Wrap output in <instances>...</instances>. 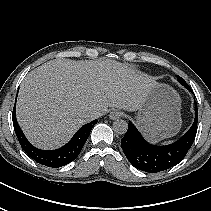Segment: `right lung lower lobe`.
<instances>
[{
	"label": "right lung lower lobe",
	"mask_w": 211,
	"mask_h": 211,
	"mask_svg": "<svg viewBox=\"0 0 211 211\" xmlns=\"http://www.w3.org/2000/svg\"><path fill=\"white\" fill-rule=\"evenodd\" d=\"M15 106L16 104L14 105L12 120L16 136L19 140L22 149L27 153L30 158H32L37 163L52 168L65 166L66 164H69L70 162L75 160L81 152L86 140L88 139L93 125L97 123V120H94L90 123L83 125L75 133L72 139L66 145L59 149L48 151L41 150L30 144V142L26 139L25 135L20 129L16 119Z\"/></svg>",
	"instance_id": "98d812e1"
}]
</instances>
